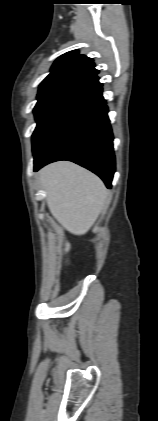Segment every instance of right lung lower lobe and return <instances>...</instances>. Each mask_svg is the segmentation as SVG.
Returning <instances> with one entry per match:
<instances>
[{"mask_svg":"<svg viewBox=\"0 0 158 421\" xmlns=\"http://www.w3.org/2000/svg\"><path fill=\"white\" fill-rule=\"evenodd\" d=\"M96 76L64 104L34 152V171L69 160L97 174L111 188L115 172L113 135L102 84Z\"/></svg>","mask_w":158,"mask_h":421,"instance_id":"1","label":"right lung lower lobe"}]
</instances>
